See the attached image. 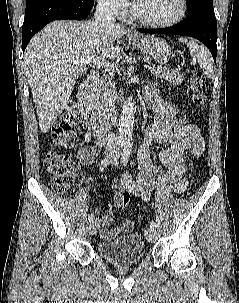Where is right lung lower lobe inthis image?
<instances>
[{
  "instance_id": "1",
  "label": "right lung lower lobe",
  "mask_w": 239,
  "mask_h": 303,
  "mask_svg": "<svg viewBox=\"0 0 239 303\" xmlns=\"http://www.w3.org/2000/svg\"><path fill=\"white\" fill-rule=\"evenodd\" d=\"M94 0H27L22 26V48L25 50L32 36L54 20L86 18Z\"/></svg>"
}]
</instances>
